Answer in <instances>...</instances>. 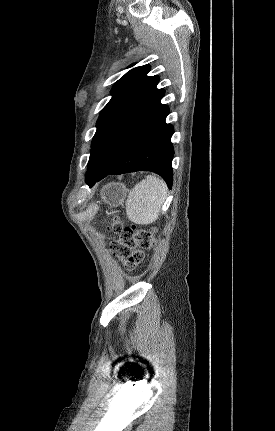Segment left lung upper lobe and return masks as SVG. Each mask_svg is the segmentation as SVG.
Segmentation results:
<instances>
[{
	"label": "left lung upper lobe",
	"mask_w": 275,
	"mask_h": 431,
	"mask_svg": "<svg viewBox=\"0 0 275 431\" xmlns=\"http://www.w3.org/2000/svg\"><path fill=\"white\" fill-rule=\"evenodd\" d=\"M149 72V65L133 68L113 86L112 98L102 109L96 123L86 181L106 170L122 149L165 106L160 103L165 90L156 88L159 77L147 76Z\"/></svg>",
	"instance_id": "5c2ea615"
}]
</instances>
